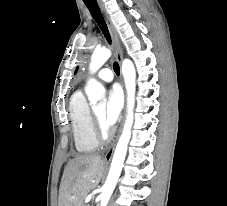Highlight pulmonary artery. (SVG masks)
I'll return each mask as SVG.
<instances>
[{"label":"pulmonary artery","instance_id":"1","mask_svg":"<svg viewBox=\"0 0 227 206\" xmlns=\"http://www.w3.org/2000/svg\"><path fill=\"white\" fill-rule=\"evenodd\" d=\"M97 77L101 81L111 82L114 76L113 72L109 68H103L98 72Z\"/></svg>","mask_w":227,"mask_h":206}]
</instances>
